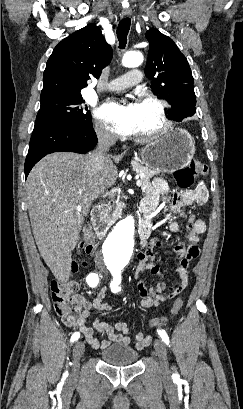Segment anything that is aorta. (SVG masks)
<instances>
[{
    "label": "aorta",
    "instance_id": "1",
    "mask_svg": "<svg viewBox=\"0 0 243 409\" xmlns=\"http://www.w3.org/2000/svg\"><path fill=\"white\" fill-rule=\"evenodd\" d=\"M143 62L140 52H127L122 59L125 67H138ZM135 222L133 216L121 220L104 242V249L111 258H127L133 251Z\"/></svg>",
    "mask_w": 243,
    "mask_h": 409
}]
</instances>
